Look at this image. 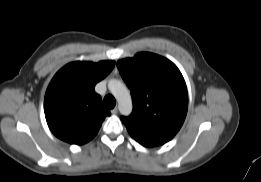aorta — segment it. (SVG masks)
Returning a JSON list of instances; mask_svg holds the SVG:
<instances>
[{
	"label": "aorta",
	"instance_id": "obj_1",
	"mask_svg": "<svg viewBox=\"0 0 261 182\" xmlns=\"http://www.w3.org/2000/svg\"><path fill=\"white\" fill-rule=\"evenodd\" d=\"M108 89L118 102V109L122 115H130L133 109L132 99L127 87L117 79L108 82Z\"/></svg>",
	"mask_w": 261,
	"mask_h": 182
}]
</instances>
